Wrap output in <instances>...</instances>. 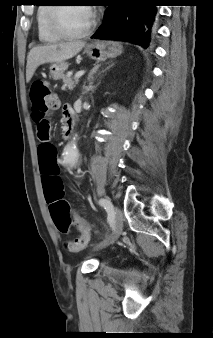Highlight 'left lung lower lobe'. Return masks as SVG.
I'll return each mask as SVG.
<instances>
[{
    "instance_id": "left-lung-lower-lobe-1",
    "label": "left lung lower lobe",
    "mask_w": 213,
    "mask_h": 338,
    "mask_svg": "<svg viewBox=\"0 0 213 338\" xmlns=\"http://www.w3.org/2000/svg\"><path fill=\"white\" fill-rule=\"evenodd\" d=\"M158 0H109L92 38L124 40L147 48L156 26Z\"/></svg>"
}]
</instances>
